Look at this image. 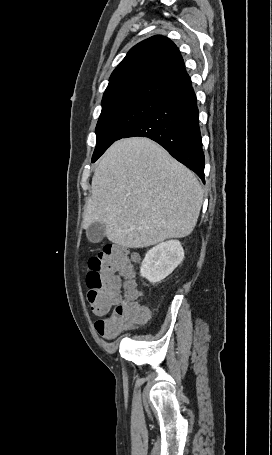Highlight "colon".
<instances>
[{
    "instance_id": "1",
    "label": "colon",
    "mask_w": 272,
    "mask_h": 455,
    "mask_svg": "<svg viewBox=\"0 0 272 455\" xmlns=\"http://www.w3.org/2000/svg\"><path fill=\"white\" fill-rule=\"evenodd\" d=\"M133 261L127 248L106 244L86 262L87 300L94 314L104 316L95 322L96 331L104 338L116 337L143 322L148 315L147 309L138 302ZM122 287L124 296L121 295Z\"/></svg>"
}]
</instances>
